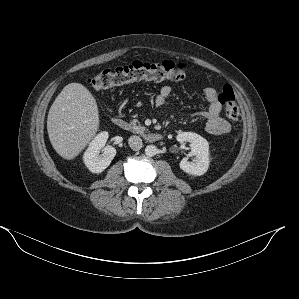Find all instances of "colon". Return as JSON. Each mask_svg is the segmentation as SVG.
I'll list each match as a JSON object with an SVG mask.
<instances>
[{
	"mask_svg": "<svg viewBox=\"0 0 299 299\" xmlns=\"http://www.w3.org/2000/svg\"><path fill=\"white\" fill-rule=\"evenodd\" d=\"M184 64L165 61L160 64L133 62L130 65L118 67L115 70H104L90 80L96 90H106L135 81L162 82L165 80H184L186 78ZM218 101L224 105L226 115L233 121H238L240 110L235 93L230 85H224L219 92Z\"/></svg>",
	"mask_w": 299,
	"mask_h": 299,
	"instance_id": "colon-1",
	"label": "colon"
}]
</instances>
